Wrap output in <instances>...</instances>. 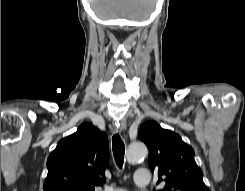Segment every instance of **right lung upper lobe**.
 <instances>
[{
	"label": "right lung upper lobe",
	"mask_w": 245,
	"mask_h": 191,
	"mask_svg": "<svg viewBox=\"0 0 245 191\" xmlns=\"http://www.w3.org/2000/svg\"><path fill=\"white\" fill-rule=\"evenodd\" d=\"M109 162L108 139L92 124L61 139L47 159L44 191H94L105 182Z\"/></svg>",
	"instance_id": "1"
}]
</instances>
